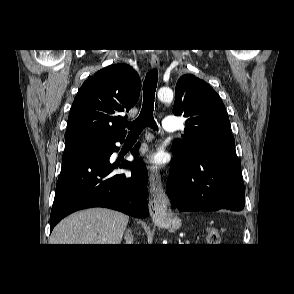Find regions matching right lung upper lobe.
<instances>
[{"mask_svg": "<svg viewBox=\"0 0 294 294\" xmlns=\"http://www.w3.org/2000/svg\"><path fill=\"white\" fill-rule=\"evenodd\" d=\"M140 94V78L127 64L110 65L86 80L79 89L67 122L66 144L125 137L119 112H128Z\"/></svg>", "mask_w": 294, "mask_h": 294, "instance_id": "right-lung-upper-lobe-1", "label": "right lung upper lobe"}]
</instances>
